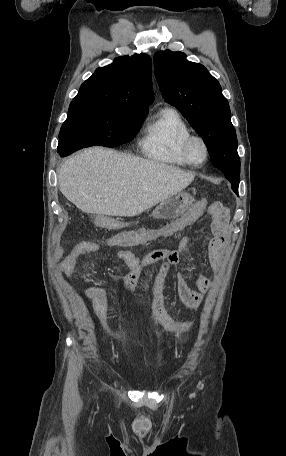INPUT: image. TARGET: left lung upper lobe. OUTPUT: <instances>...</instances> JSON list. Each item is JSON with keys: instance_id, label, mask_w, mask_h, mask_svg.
Wrapping results in <instances>:
<instances>
[{"instance_id": "5c2ea615", "label": "left lung upper lobe", "mask_w": 286, "mask_h": 456, "mask_svg": "<svg viewBox=\"0 0 286 456\" xmlns=\"http://www.w3.org/2000/svg\"><path fill=\"white\" fill-rule=\"evenodd\" d=\"M155 76L162 96L188 120L207 145L211 161L231 182H240V159L231 112L219 82L201 64L182 52L154 55Z\"/></svg>"}]
</instances>
